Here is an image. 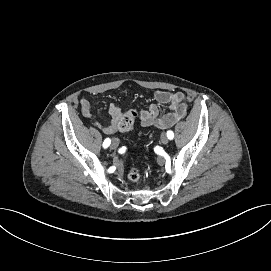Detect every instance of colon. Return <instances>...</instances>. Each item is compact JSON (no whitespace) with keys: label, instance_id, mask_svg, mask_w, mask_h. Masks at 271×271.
I'll use <instances>...</instances> for the list:
<instances>
[{"label":"colon","instance_id":"colon-1","mask_svg":"<svg viewBox=\"0 0 271 271\" xmlns=\"http://www.w3.org/2000/svg\"><path fill=\"white\" fill-rule=\"evenodd\" d=\"M137 113L134 110L126 112L120 119L118 128L123 133L132 131ZM128 178L132 182H138L141 179V172L138 168H132L128 173Z\"/></svg>","mask_w":271,"mask_h":271}]
</instances>
